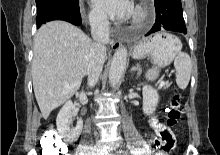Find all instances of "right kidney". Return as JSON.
<instances>
[{
	"mask_svg": "<svg viewBox=\"0 0 220 155\" xmlns=\"http://www.w3.org/2000/svg\"><path fill=\"white\" fill-rule=\"evenodd\" d=\"M72 110L73 103L68 101L64 104L57 115L56 124L58 133L66 141H75L81 134L83 128V121L80 119L77 121V125L74 129H70L72 122Z\"/></svg>",
	"mask_w": 220,
	"mask_h": 155,
	"instance_id": "1",
	"label": "right kidney"
}]
</instances>
